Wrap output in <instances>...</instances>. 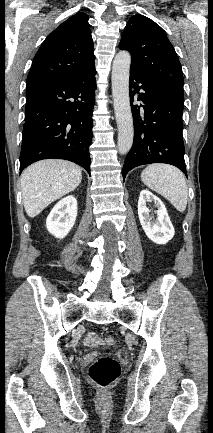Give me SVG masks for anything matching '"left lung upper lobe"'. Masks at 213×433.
Masks as SVG:
<instances>
[{"instance_id": "1", "label": "left lung upper lobe", "mask_w": 213, "mask_h": 433, "mask_svg": "<svg viewBox=\"0 0 213 433\" xmlns=\"http://www.w3.org/2000/svg\"><path fill=\"white\" fill-rule=\"evenodd\" d=\"M119 48L131 53V70L150 84L183 99V73L174 47L165 32L143 15L132 16L121 37Z\"/></svg>"}]
</instances>
